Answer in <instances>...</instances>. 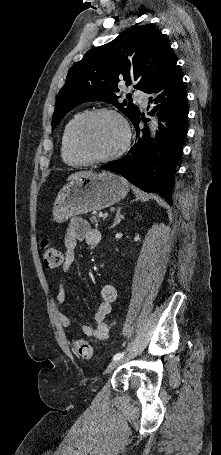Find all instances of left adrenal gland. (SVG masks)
I'll list each match as a JSON object with an SVG mask.
<instances>
[{
  "label": "left adrenal gland",
  "instance_id": "a2214340",
  "mask_svg": "<svg viewBox=\"0 0 221 455\" xmlns=\"http://www.w3.org/2000/svg\"><path fill=\"white\" fill-rule=\"evenodd\" d=\"M120 211H121V207H119L117 209L116 215H115V219H114V223H113V225L110 228L115 227L117 224H119L121 222L122 219H124V216L120 214Z\"/></svg>",
  "mask_w": 221,
  "mask_h": 455
}]
</instances>
